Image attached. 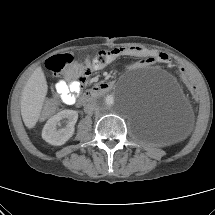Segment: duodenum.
<instances>
[{
    "label": "duodenum",
    "instance_id": "obj_1",
    "mask_svg": "<svg viewBox=\"0 0 215 215\" xmlns=\"http://www.w3.org/2000/svg\"><path fill=\"white\" fill-rule=\"evenodd\" d=\"M113 87H114L113 82L110 81L100 82L93 86L92 88H90L89 90H87L79 99L78 103L80 105L89 104L100 95L110 92L113 89Z\"/></svg>",
    "mask_w": 215,
    "mask_h": 215
}]
</instances>
